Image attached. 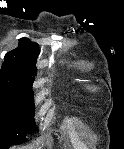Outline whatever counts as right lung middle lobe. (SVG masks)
<instances>
[{
    "mask_svg": "<svg viewBox=\"0 0 124 149\" xmlns=\"http://www.w3.org/2000/svg\"><path fill=\"white\" fill-rule=\"evenodd\" d=\"M31 88L0 80V145H18L36 131Z\"/></svg>",
    "mask_w": 124,
    "mask_h": 149,
    "instance_id": "right-lung-middle-lobe-1",
    "label": "right lung middle lobe"
}]
</instances>
